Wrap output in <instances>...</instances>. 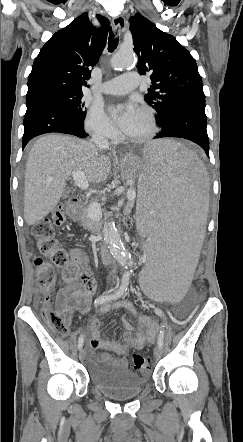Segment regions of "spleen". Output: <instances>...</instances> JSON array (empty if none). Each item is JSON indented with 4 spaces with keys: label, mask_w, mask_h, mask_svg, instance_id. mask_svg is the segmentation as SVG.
Segmentation results:
<instances>
[{
    "label": "spleen",
    "mask_w": 243,
    "mask_h": 442,
    "mask_svg": "<svg viewBox=\"0 0 243 442\" xmlns=\"http://www.w3.org/2000/svg\"><path fill=\"white\" fill-rule=\"evenodd\" d=\"M139 237H150L138 291L151 302L180 307L192 286L197 242L205 235L206 171L185 146L163 139L148 143L136 168Z\"/></svg>",
    "instance_id": "3e777b00"
}]
</instances>
